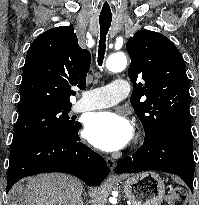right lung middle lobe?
Segmentation results:
<instances>
[{
    "mask_svg": "<svg viewBox=\"0 0 199 205\" xmlns=\"http://www.w3.org/2000/svg\"><path fill=\"white\" fill-rule=\"evenodd\" d=\"M71 106L40 107L19 113L10 148L24 145L46 135L77 129L80 123L68 116Z\"/></svg>",
    "mask_w": 199,
    "mask_h": 205,
    "instance_id": "1",
    "label": "right lung middle lobe"
}]
</instances>
